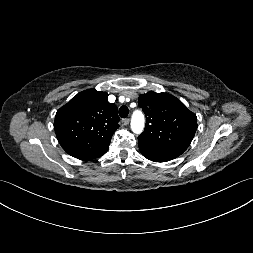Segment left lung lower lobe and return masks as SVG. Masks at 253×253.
<instances>
[{
    "mask_svg": "<svg viewBox=\"0 0 253 253\" xmlns=\"http://www.w3.org/2000/svg\"><path fill=\"white\" fill-rule=\"evenodd\" d=\"M139 149L142 153L143 156H145L147 159L155 162H165V161H170L178 155L167 153V152H162L159 150H154L146 147H140Z\"/></svg>",
    "mask_w": 253,
    "mask_h": 253,
    "instance_id": "0a47b994",
    "label": "left lung lower lobe"
}]
</instances>
